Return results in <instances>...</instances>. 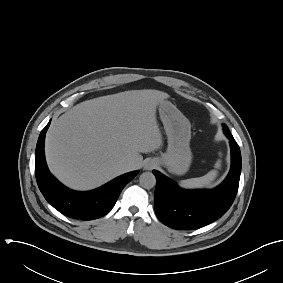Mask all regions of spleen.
Returning <instances> with one entry per match:
<instances>
[{"instance_id": "3e777b00", "label": "spleen", "mask_w": 283, "mask_h": 283, "mask_svg": "<svg viewBox=\"0 0 283 283\" xmlns=\"http://www.w3.org/2000/svg\"><path fill=\"white\" fill-rule=\"evenodd\" d=\"M220 167L221 161L218 160L215 164V168L219 169ZM216 169L209 171L206 175L202 177L182 180L179 182V185L185 189H199L209 187L218 176V171Z\"/></svg>"}]
</instances>
